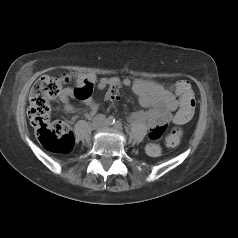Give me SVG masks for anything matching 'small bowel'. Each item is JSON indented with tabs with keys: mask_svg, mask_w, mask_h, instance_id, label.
<instances>
[{
	"mask_svg": "<svg viewBox=\"0 0 238 238\" xmlns=\"http://www.w3.org/2000/svg\"><path fill=\"white\" fill-rule=\"evenodd\" d=\"M92 80L85 76H78L76 79L77 92L79 93L78 99H80L85 105L90 108V112L85 116L89 117L93 115L98 106L93 102L91 98V92L89 86ZM178 83L173 85L174 89L166 90L162 86L147 82L144 80H130L128 78L120 80L119 78H101L96 82V87L99 90L109 88L110 91L115 90L118 87L126 86L130 87L133 92L138 96L140 103L151 108L145 113H136L134 118H140L146 120L150 127L157 125H164L170 121H174L176 115L173 112H177L179 107V96L175 92V88ZM72 90L65 89L61 95V102L63 109L66 112H73L74 108L69 103L68 97L72 94Z\"/></svg>",
	"mask_w": 238,
	"mask_h": 238,
	"instance_id": "c3829d8e",
	"label": "small bowel"
}]
</instances>
